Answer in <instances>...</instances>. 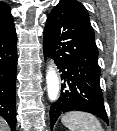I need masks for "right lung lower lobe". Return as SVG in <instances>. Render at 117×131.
Wrapping results in <instances>:
<instances>
[{"label": "right lung lower lobe", "instance_id": "98d812e1", "mask_svg": "<svg viewBox=\"0 0 117 131\" xmlns=\"http://www.w3.org/2000/svg\"><path fill=\"white\" fill-rule=\"evenodd\" d=\"M15 26L0 34V116L16 129L15 87L17 70Z\"/></svg>", "mask_w": 117, "mask_h": 131}]
</instances>
